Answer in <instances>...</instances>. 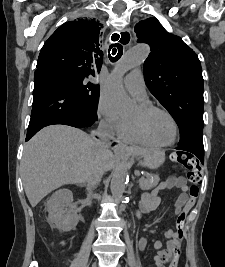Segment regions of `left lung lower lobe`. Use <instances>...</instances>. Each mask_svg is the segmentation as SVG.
Masks as SVG:
<instances>
[{"label": "left lung lower lobe", "mask_w": 225, "mask_h": 267, "mask_svg": "<svg viewBox=\"0 0 225 267\" xmlns=\"http://www.w3.org/2000/svg\"><path fill=\"white\" fill-rule=\"evenodd\" d=\"M177 149L189 152V155H195L199 161L204 164V146L203 139H194L183 145H178ZM191 153V154H190Z\"/></svg>", "instance_id": "1"}]
</instances>
